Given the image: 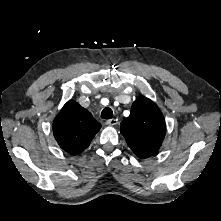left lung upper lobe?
<instances>
[{
  "label": "left lung upper lobe",
  "instance_id": "obj_1",
  "mask_svg": "<svg viewBox=\"0 0 221 221\" xmlns=\"http://www.w3.org/2000/svg\"><path fill=\"white\" fill-rule=\"evenodd\" d=\"M120 128L128 146L141 158L154 155L162 145L166 133L161 111L144 96L134 101L129 117L123 119Z\"/></svg>",
  "mask_w": 221,
  "mask_h": 221
}]
</instances>
